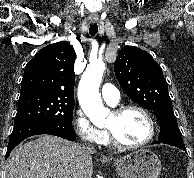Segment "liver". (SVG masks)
<instances>
[{
	"label": "liver",
	"mask_w": 194,
	"mask_h": 178,
	"mask_svg": "<svg viewBox=\"0 0 194 178\" xmlns=\"http://www.w3.org/2000/svg\"><path fill=\"white\" fill-rule=\"evenodd\" d=\"M91 153L60 137L42 135L9 156L6 178H91Z\"/></svg>",
	"instance_id": "liver-1"
}]
</instances>
